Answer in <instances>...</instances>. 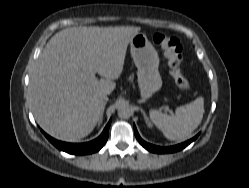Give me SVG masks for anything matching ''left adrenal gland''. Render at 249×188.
Here are the masks:
<instances>
[{"instance_id": "1", "label": "left adrenal gland", "mask_w": 249, "mask_h": 188, "mask_svg": "<svg viewBox=\"0 0 249 188\" xmlns=\"http://www.w3.org/2000/svg\"><path fill=\"white\" fill-rule=\"evenodd\" d=\"M140 110H141V112H142V114H143V116H144V118H145V120H146V123L149 125V119H148V117H147L145 111H144L142 108H141Z\"/></svg>"}]
</instances>
